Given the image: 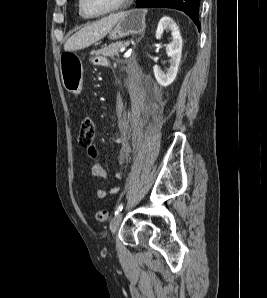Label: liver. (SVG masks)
<instances>
[{"mask_svg":"<svg viewBox=\"0 0 267 298\" xmlns=\"http://www.w3.org/2000/svg\"><path fill=\"white\" fill-rule=\"evenodd\" d=\"M123 13L111 14L96 22L90 23L72 35L64 44L65 51L84 49L107 35L116 25Z\"/></svg>","mask_w":267,"mask_h":298,"instance_id":"6515ba94","label":"liver"}]
</instances>
